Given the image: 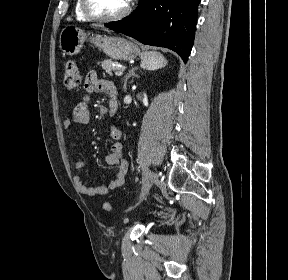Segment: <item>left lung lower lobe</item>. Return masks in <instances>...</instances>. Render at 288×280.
Returning a JSON list of instances; mask_svg holds the SVG:
<instances>
[{
    "mask_svg": "<svg viewBox=\"0 0 288 280\" xmlns=\"http://www.w3.org/2000/svg\"><path fill=\"white\" fill-rule=\"evenodd\" d=\"M200 0H140L125 19L105 24L143 44L166 47L184 62L190 55Z\"/></svg>",
    "mask_w": 288,
    "mask_h": 280,
    "instance_id": "obj_1",
    "label": "left lung lower lobe"
}]
</instances>
